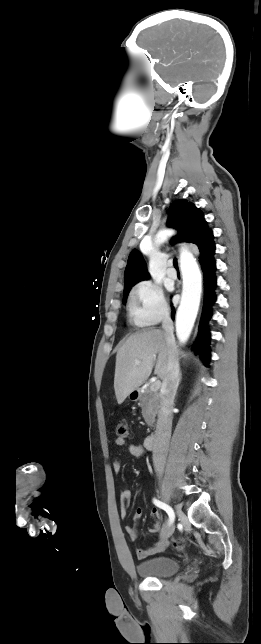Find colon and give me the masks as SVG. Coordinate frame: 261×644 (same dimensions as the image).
Instances as JSON below:
<instances>
[{"instance_id":"obj_1","label":"colon","mask_w":261,"mask_h":644,"mask_svg":"<svg viewBox=\"0 0 261 644\" xmlns=\"http://www.w3.org/2000/svg\"><path fill=\"white\" fill-rule=\"evenodd\" d=\"M116 435H117L118 438L124 439V440L128 437L129 430H128V426H127L126 423H124V422L118 423V425L116 427ZM172 545L176 550L180 551L185 547V541H184L183 538L178 537V538L173 539Z\"/></svg>"}]
</instances>
